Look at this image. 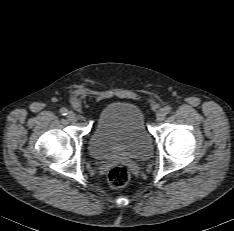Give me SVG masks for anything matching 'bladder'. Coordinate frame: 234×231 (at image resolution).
Here are the masks:
<instances>
[{
  "instance_id": "bladder-1",
  "label": "bladder",
  "mask_w": 234,
  "mask_h": 231,
  "mask_svg": "<svg viewBox=\"0 0 234 231\" xmlns=\"http://www.w3.org/2000/svg\"><path fill=\"white\" fill-rule=\"evenodd\" d=\"M152 149V136L146 127L144 112L128 101L109 104L89 138V150L96 160H147Z\"/></svg>"
}]
</instances>
